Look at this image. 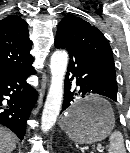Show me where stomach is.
I'll return each mask as SVG.
<instances>
[{
  "label": "stomach",
  "mask_w": 130,
  "mask_h": 153,
  "mask_svg": "<svg viewBox=\"0 0 130 153\" xmlns=\"http://www.w3.org/2000/svg\"><path fill=\"white\" fill-rule=\"evenodd\" d=\"M114 125L115 116L110 104L96 96L79 100L60 121L61 128L69 138L79 144L105 139Z\"/></svg>",
  "instance_id": "obj_1"
}]
</instances>
